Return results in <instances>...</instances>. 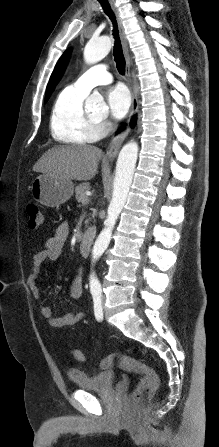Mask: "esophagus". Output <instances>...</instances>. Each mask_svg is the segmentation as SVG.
Returning a JSON list of instances; mask_svg holds the SVG:
<instances>
[{"label":"esophagus","instance_id":"esophagus-1","mask_svg":"<svg viewBox=\"0 0 219 447\" xmlns=\"http://www.w3.org/2000/svg\"><path fill=\"white\" fill-rule=\"evenodd\" d=\"M110 4H111L112 10L114 11V14L116 16L118 27H119V34H120V38H121L123 52H124L125 59H126V76L128 79V84H129L131 93H132V107H131V111L129 114V118L127 120V126H126L125 130H123L121 133H119L117 136H115L112 139L111 143L109 144V146L107 148V156L109 157L110 160H113L116 157V155L118 154V151H119L124 139L126 138V136L128 135V133L130 131L129 123L131 121V118L137 112V109H138V96H137V90H136V88L133 84L132 78H131V65H130V57H129V52H128V42H127L124 26L122 23V19L120 17L119 11H118L117 7L115 6L113 0H110Z\"/></svg>","mask_w":219,"mask_h":447}]
</instances>
